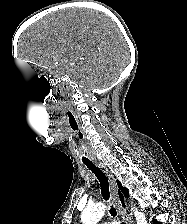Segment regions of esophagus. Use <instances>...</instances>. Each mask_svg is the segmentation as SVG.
I'll use <instances>...</instances> for the list:
<instances>
[{"label":"esophagus","mask_w":187,"mask_h":224,"mask_svg":"<svg viewBox=\"0 0 187 224\" xmlns=\"http://www.w3.org/2000/svg\"><path fill=\"white\" fill-rule=\"evenodd\" d=\"M95 164L106 175L108 182H109V186H110V194H111L112 202H113L114 206L116 207V209L118 210L119 214L121 215L122 219L124 220L125 224H132V218L129 216V214L126 212V210L122 206V203H121V200L119 197V193H118L117 183H116L114 176L109 171V169L102 163L95 162Z\"/></svg>","instance_id":"obj_1"}]
</instances>
